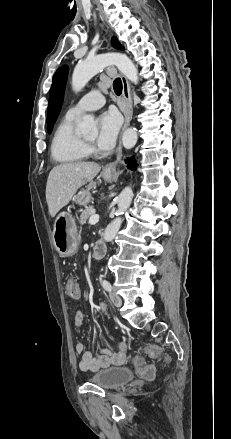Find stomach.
Instances as JSON below:
<instances>
[{
  "instance_id": "1",
  "label": "stomach",
  "mask_w": 231,
  "mask_h": 439,
  "mask_svg": "<svg viewBox=\"0 0 231 439\" xmlns=\"http://www.w3.org/2000/svg\"><path fill=\"white\" fill-rule=\"evenodd\" d=\"M103 179L111 182L116 176L117 172H109L103 170L101 173ZM92 185L87 186L86 189L80 190L74 197L73 201L79 205L87 206L93 201L90 190ZM54 246L60 256H73L80 243V233L75 222V219L67 212H61L55 219L53 230Z\"/></svg>"
}]
</instances>
